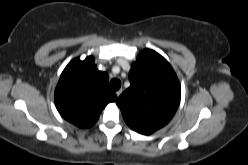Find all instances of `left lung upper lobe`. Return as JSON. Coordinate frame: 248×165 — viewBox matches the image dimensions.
Returning a JSON list of instances; mask_svg holds the SVG:
<instances>
[{
  "instance_id": "1",
  "label": "left lung upper lobe",
  "mask_w": 248,
  "mask_h": 165,
  "mask_svg": "<svg viewBox=\"0 0 248 165\" xmlns=\"http://www.w3.org/2000/svg\"><path fill=\"white\" fill-rule=\"evenodd\" d=\"M130 87L118 98L125 122L135 131L149 135L174 116L181 87L171 65L160 54L144 49L129 72Z\"/></svg>"
}]
</instances>
